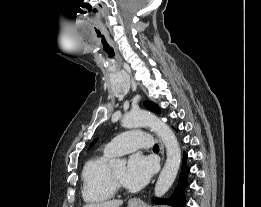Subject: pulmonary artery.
<instances>
[{
    "label": "pulmonary artery",
    "mask_w": 261,
    "mask_h": 207,
    "mask_svg": "<svg viewBox=\"0 0 261 207\" xmlns=\"http://www.w3.org/2000/svg\"><path fill=\"white\" fill-rule=\"evenodd\" d=\"M152 146L149 134L140 130L126 131L111 140L105 147V151L113 156L133 152L139 148Z\"/></svg>",
    "instance_id": "e3ab8cb5"
}]
</instances>
